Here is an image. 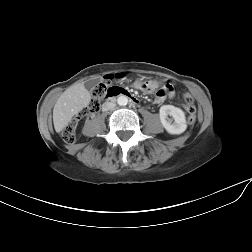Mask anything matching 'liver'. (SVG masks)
<instances>
[{"mask_svg":"<svg viewBox=\"0 0 252 252\" xmlns=\"http://www.w3.org/2000/svg\"><path fill=\"white\" fill-rule=\"evenodd\" d=\"M90 99L89 91L81 83L64 91L53 109V123L56 132L63 130L72 117L89 104Z\"/></svg>","mask_w":252,"mask_h":252,"instance_id":"1","label":"liver"}]
</instances>
